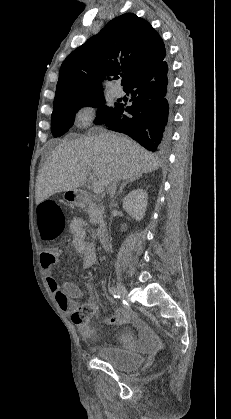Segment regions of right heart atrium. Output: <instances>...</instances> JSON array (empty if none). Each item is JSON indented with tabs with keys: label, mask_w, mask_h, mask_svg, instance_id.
<instances>
[{
	"label": "right heart atrium",
	"mask_w": 231,
	"mask_h": 419,
	"mask_svg": "<svg viewBox=\"0 0 231 419\" xmlns=\"http://www.w3.org/2000/svg\"><path fill=\"white\" fill-rule=\"evenodd\" d=\"M96 110L92 105H83L78 108L75 114V123L80 127H86L95 118Z\"/></svg>",
	"instance_id": "right-heart-atrium-1"
}]
</instances>
